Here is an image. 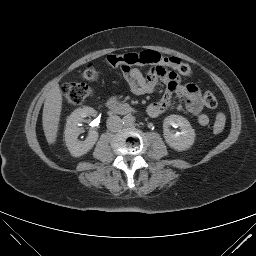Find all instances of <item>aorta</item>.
<instances>
[{
  "instance_id": "1",
  "label": "aorta",
  "mask_w": 256,
  "mask_h": 256,
  "mask_svg": "<svg viewBox=\"0 0 256 256\" xmlns=\"http://www.w3.org/2000/svg\"><path fill=\"white\" fill-rule=\"evenodd\" d=\"M122 120L125 126H132L135 123V117L131 114H127Z\"/></svg>"
}]
</instances>
